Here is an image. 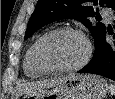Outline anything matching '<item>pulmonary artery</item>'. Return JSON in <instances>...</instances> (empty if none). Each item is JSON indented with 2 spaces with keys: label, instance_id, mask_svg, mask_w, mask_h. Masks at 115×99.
<instances>
[{
  "label": "pulmonary artery",
  "instance_id": "1",
  "mask_svg": "<svg viewBox=\"0 0 115 99\" xmlns=\"http://www.w3.org/2000/svg\"><path fill=\"white\" fill-rule=\"evenodd\" d=\"M103 16H104L106 19H108V20H111V19H112V13H111V11H109V10H104V11H103Z\"/></svg>",
  "mask_w": 115,
  "mask_h": 99
}]
</instances>
